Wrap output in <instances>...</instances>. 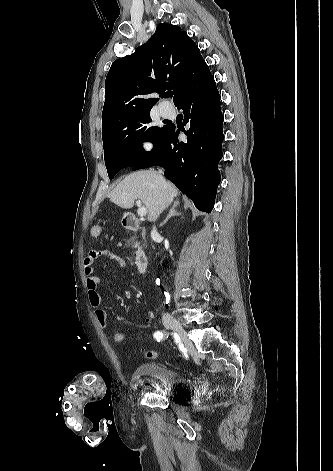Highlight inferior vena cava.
<instances>
[{"mask_svg": "<svg viewBox=\"0 0 333 471\" xmlns=\"http://www.w3.org/2000/svg\"><path fill=\"white\" fill-rule=\"evenodd\" d=\"M162 173H163V171L160 170V171H159V174H160L162 183H163V185L165 186V180H164V178H163V176H162ZM166 197H167V195H166V193H165V198H164V203L162 204V208L165 206ZM155 232H156V229L153 228L152 234L155 233Z\"/></svg>", "mask_w": 333, "mask_h": 471, "instance_id": "inferior-vena-cava-1", "label": "inferior vena cava"}]
</instances>
